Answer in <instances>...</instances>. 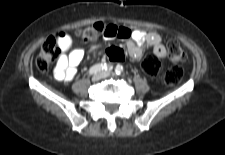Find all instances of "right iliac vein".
<instances>
[{
    "label": "right iliac vein",
    "mask_w": 225,
    "mask_h": 155,
    "mask_svg": "<svg viewBox=\"0 0 225 155\" xmlns=\"http://www.w3.org/2000/svg\"><path fill=\"white\" fill-rule=\"evenodd\" d=\"M102 78V73H96L93 77H92V81L93 82H97Z\"/></svg>",
    "instance_id": "obj_1"
}]
</instances>
